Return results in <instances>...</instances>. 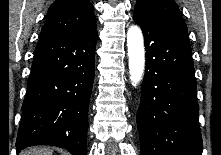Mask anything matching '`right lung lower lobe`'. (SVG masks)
<instances>
[{"mask_svg": "<svg viewBox=\"0 0 221 155\" xmlns=\"http://www.w3.org/2000/svg\"><path fill=\"white\" fill-rule=\"evenodd\" d=\"M96 42V25L40 37L22 105L17 153L29 146L52 145L86 155Z\"/></svg>", "mask_w": 221, "mask_h": 155, "instance_id": "98d812e1", "label": "right lung lower lobe"}]
</instances>
